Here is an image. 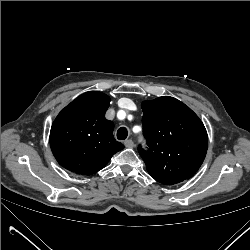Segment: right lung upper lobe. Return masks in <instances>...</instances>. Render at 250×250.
Segmentation results:
<instances>
[{
	"label": "right lung upper lobe",
	"mask_w": 250,
	"mask_h": 250,
	"mask_svg": "<svg viewBox=\"0 0 250 250\" xmlns=\"http://www.w3.org/2000/svg\"><path fill=\"white\" fill-rule=\"evenodd\" d=\"M109 104L106 94L89 91L58 114L50 131V147L62 167L92 175L124 148L113 136V122L105 118Z\"/></svg>",
	"instance_id": "cb5924a9"
}]
</instances>
